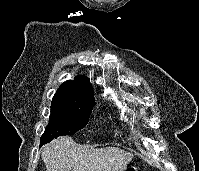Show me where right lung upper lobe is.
Segmentation results:
<instances>
[{"label": "right lung upper lobe", "mask_w": 199, "mask_h": 171, "mask_svg": "<svg viewBox=\"0 0 199 171\" xmlns=\"http://www.w3.org/2000/svg\"><path fill=\"white\" fill-rule=\"evenodd\" d=\"M53 98L77 103L90 102L94 101V91L87 77L77 76L73 81L64 82Z\"/></svg>", "instance_id": "1"}]
</instances>
